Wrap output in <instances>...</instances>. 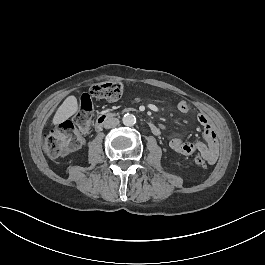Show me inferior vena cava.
<instances>
[{
    "instance_id": "inferior-vena-cava-1",
    "label": "inferior vena cava",
    "mask_w": 265,
    "mask_h": 265,
    "mask_svg": "<svg viewBox=\"0 0 265 265\" xmlns=\"http://www.w3.org/2000/svg\"><path fill=\"white\" fill-rule=\"evenodd\" d=\"M118 124H119V119L110 117L104 121V128L110 129L116 127Z\"/></svg>"
}]
</instances>
